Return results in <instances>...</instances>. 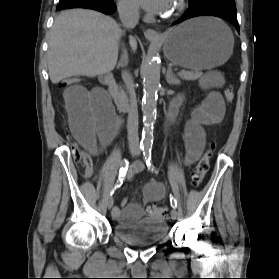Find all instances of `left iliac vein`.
<instances>
[{"label":"left iliac vein","mask_w":279,"mask_h":279,"mask_svg":"<svg viewBox=\"0 0 279 279\" xmlns=\"http://www.w3.org/2000/svg\"><path fill=\"white\" fill-rule=\"evenodd\" d=\"M134 154H135L136 156H139V155H140V150H139V149H136V150L134 151ZM171 218H172L173 220H175V219L177 218V211H176L175 208H173V209L171 210Z\"/></svg>","instance_id":"1"}]
</instances>
